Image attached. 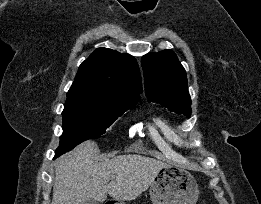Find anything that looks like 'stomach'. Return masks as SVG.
<instances>
[{"label":"stomach","mask_w":261,"mask_h":204,"mask_svg":"<svg viewBox=\"0 0 261 204\" xmlns=\"http://www.w3.org/2000/svg\"><path fill=\"white\" fill-rule=\"evenodd\" d=\"M198 195V184L194 176L189 171L174 166L161 168L150 186L153 204H196Z\"/></svg>","instance_id":"0dacf381"}]
</instances>
